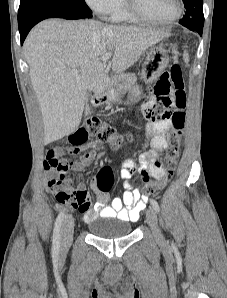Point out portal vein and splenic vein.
I'll return each instance as SVG.
<instances>
[{"instance_id":"portal-vein-and-splenic-vein-1","label":"portal vein and splenic vein","mask_w":227,"mask_h":298,"mask_svg":"<svg viewBox=\"0 0 227 298\" xmlns=\"http://www.w3.org/2000/svg\"><path fill=\"white\" fill-rule=\"evenodd\" d=\"M112 57V52H108V53H106V54H104L101 58H100V60L102 61V62H107L110 58ZM72 73L74 74V75H78V70H72Z\"/></svg>"}]
</instances>
